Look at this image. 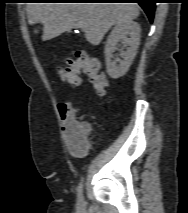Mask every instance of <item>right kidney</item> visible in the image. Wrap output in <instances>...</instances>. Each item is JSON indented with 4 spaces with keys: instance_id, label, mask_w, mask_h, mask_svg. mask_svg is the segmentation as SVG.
<instances>
[{
    "instance_id": "obj_1",
    "label": "right kidney",
    "mask_w": 188,
    "mask_h": 213,
    "mask_svg": "<svg viewBox=\"0 0 188 213\" xmlns=\"http://www.w3.org/2000/svg\"><path fill=\"white\" fill-rule=\"evenodd\" d=\"M140 32V25L132 20L116 24L110 32L105 45V61L111 78L117 79L129 70L140 44ZM118 42H122L127 48L126 51L121 50L122 60L117 65L112 58Z\"/></svg>"
}]
</instances>
